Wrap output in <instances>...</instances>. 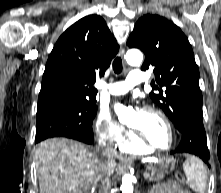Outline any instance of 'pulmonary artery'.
I'll return each instance as SVG.
<instances>
[{"label": "pulmonary artery", "mask_w": 221, "mask_h": 193, "mask_svg": "<svg viewBox=\"0 0 221 193\" xmlns=\"http://www.w3.org/2000/svg\"><path fill=\"white\" fill-rule=\"evenodd\" d=\"M146 81L144 73L140 70H132L124 81L109 84L108 91L112 95H121L127 93L134 86Z\"/></svg>", "instance_id": "obj_1"}]
</instances>
